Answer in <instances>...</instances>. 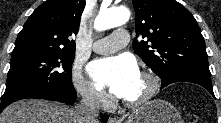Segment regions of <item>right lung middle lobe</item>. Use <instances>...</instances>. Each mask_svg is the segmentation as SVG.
<instances>
[{"label":"right lung middle lobe","instance_id":"dd1d6c3e","mask_svg":"<svg viewBox=\"0 0 221 123\" xmlns=\"http://www.w3.org/2000/svg\"><path fill=\"white\" fill-rule=\"evenodd\" d=\"M74 51L39 48L12 51L6 89L34 84L37 89L72 85L71 70Z\"/></svg>","mask_w":221,"mask_h":123}]
</instances>
